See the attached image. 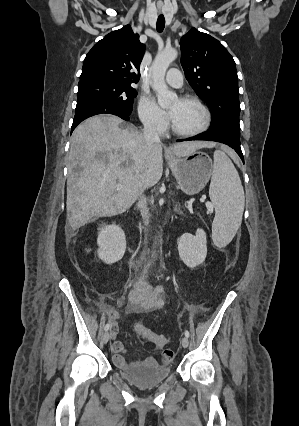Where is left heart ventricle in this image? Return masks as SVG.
Here are the masks:
<instances>
[{"label": "left heart ventricle", "mask_w": 299, "mask_h": 426, "mask_svg": "<svg viewBox=\"0 0 299 426\" xmlns=\"http://www.w3.org/2000/svg\"><path fill=\"white\" fill-rule=\"evenodd\" d=\"M169 110L173 113L174 125L180 130H195L203 123V113L195 103L176 99L169 105Z\"/></svg>", "instance_id": "1"}]
</instances>
